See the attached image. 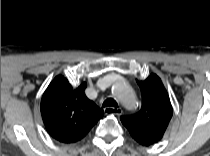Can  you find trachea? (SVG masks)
<instances>
[{"instance_id":"3493384b","label":"trachea","mask_w":210,"mask_h":156,"mask_svg":"<svg viewBox=\"0 0 210 156\" xmlns=\"http://www.w3.org/2000/svg\"><path fill=\"white\" fill-rule=\"evenodd\" d=\"M102 107H118L117 102L113 99V98H108L104 101V103L102 104Z\"/></svg>"}]
</instances>
